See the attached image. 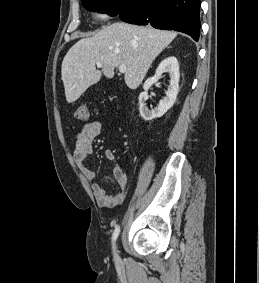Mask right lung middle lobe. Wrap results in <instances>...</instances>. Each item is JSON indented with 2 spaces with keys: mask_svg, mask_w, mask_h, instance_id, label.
<instances>
[{
  "mask_svg": "<svg viewBox=\"0 0 259 283\" xmlns=\"http://www.w3.org/2000/svg\"><path fill=\"white\" fill-rule=\"evenodd\" d=\"M120 0H81L82 5L90 10L117 15Z\"/></svg>",
  "mask_w": 259,
  "mask_h": 283,
  "instance_id": "dd1d6c3e",
  "label": "right lung middle lobe"
}]
</instances>
